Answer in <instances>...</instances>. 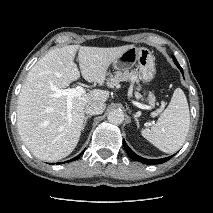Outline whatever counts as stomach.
<instances>
[{
	"label": "stomach",
	"instance_id": "stomach-1",
	"mask_svg": "<svg viewBox=\"0 0 213 213\" xmlns=\"http://www.w3.org/2000/svg\"><path fill=\"white\" fill-rule=\"evenodd\" d=\"M133 66L137 67L139 77L145 83L152 81L156 74L155 58L147 48L133 46L113 62V67L118 70L126 71ZM146 100L150 105L154 104V99L147 98Z\"/></svg>",
	"mask_w": 213,
	"mask_h": 213
}]
</instances>
